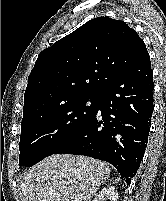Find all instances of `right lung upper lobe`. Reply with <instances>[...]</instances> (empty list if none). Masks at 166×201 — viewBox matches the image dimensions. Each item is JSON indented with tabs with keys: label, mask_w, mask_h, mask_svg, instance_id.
<instances>
[{
	"label": "right lung upper lobe",
	"mask_w": 166,
	"mask_h": 201,
	"mask_svg": "<svg viewBox=\"0 0 166 201\" xmlns=\"http://www.w3.org/2000/svg\"><path fill=\"white\" fill-rule=\"evenodd\" d=\"M147 52L125 22L94 18L38 56L28 77L23 116L85 96H97Z\"/></svg>",
	"instance_id": "1"
}]
</instances>
